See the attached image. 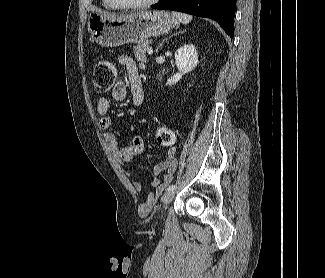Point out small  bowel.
Returning a JSON list of instances; mask_svg holds the SVG:
<instances>
[{
	"label": "small bowel",
	"mask_w": 325,
	"mask_h": 278,
	"mask_svg": "<svg viewBox=\"0 0 325 278\" xmlns=\"http://www.w3.org/2000/svg\"><path fill=\"white\" fill-rule=\"evenodd\" d=\"M118 64L127 70L128 84L119 80L113 90L112 97L115 101H124L127 97L128 89L131 92L132 104L135 107L141 106L144 99L143 82L140 75V67L137 61L129 55H121L118 57ZM110 102L106 97H101L97 104V110L100 115L99 127L102 130H107L111 126V118L109 116ZM105 141L110 150L115 154L118 161L122 164H127L135 160L144 150V140L141 135H136L129 144L121 146L117 136L114 133L108 132L105 134ZM163 145V144H161ZM165 146V145H163ZM169 150L164 161L156 164L151 173L155 176L163 174L161 178H157L153 182L152 196H158L164 188L172 181L173 173L176 169V152L177 144L168 146ZM123 171L127 176L132 175V170L124 166ZM135 188L140 191L143 188V183L140 180L134 182Z\"/></svg>",
	"instance_id": "small-bowel-1"
}]
</instances>
